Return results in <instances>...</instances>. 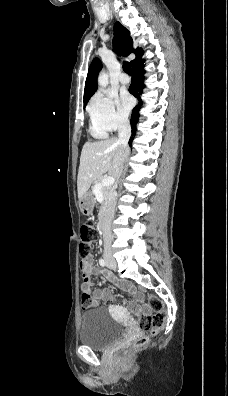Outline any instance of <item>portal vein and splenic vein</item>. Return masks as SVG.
Listing matches in <instances>:
<instances>
[{"instance_id":"obj_1","label":"portal vein and splenic vein","mask_w":228,"mask_h":396,"mask_svg":"<svg viewBox=\"0 0 228 396\" xmlns=\"http://www.w3.org/2000/svg\"><path fill=\"white\" fill-rule=\"evenodd\" d=\"M115 179L112 176H108L104 179H102L101 183L99 184L98 188L100 187H106V186H111L114 183Z\"/></svg>"}]
</instances>
